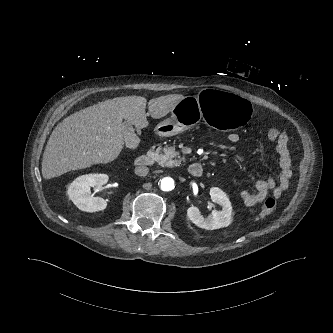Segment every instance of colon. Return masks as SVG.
I'll use <instances>...</instances> for the list:
<instances>
[{"label": "colon", "instance_id": "5ec220e1", "mask_svg": "<svg viewBox=\"0 0 333 333\" xmlns=\"http://www.w3.org/2000/svg\"><path fill=\"white\" fill-rule=\"evenodd\" d=\"M281 134H282L281 131L272 128L268 130L267 137L270 141H278ZM275 207H276V200L272 197L266 198L262 205L260 215L267 216L271 214L274 211Z\"/></svg>", "mask_w": 333, "mask_h": 333}]
</instances>
